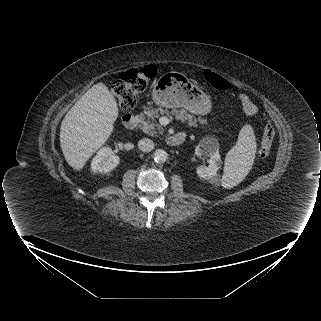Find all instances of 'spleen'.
<instances>
[{
  "label": "spleen",
  "instance_id": "spleen-1",
  "mask_svg": "<svg viewBox=\"0 0 321 321\" xmlns=\"http://www.w3.org/2000/svg\"><path fill=\"white\" fill-rule=\"evenodd\" d=\"M255 153L254 131L250 125H244L239 132L236 145L226 155L223 187L232 188L246 177L254 162Z\"/></svg>",
  "mask_w": 321,
  "mask_h": 321
}]
</instances>
